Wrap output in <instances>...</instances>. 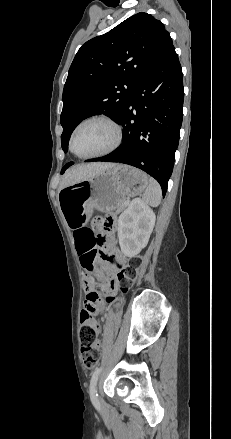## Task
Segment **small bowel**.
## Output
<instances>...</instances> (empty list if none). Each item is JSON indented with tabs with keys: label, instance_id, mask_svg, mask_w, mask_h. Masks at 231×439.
<instances>
[{
	"label": "small bowel",
	"instance_id": "c3829d8e",
	"mask_svg": "<svg viewBox=\"0 0 231 439\" xmlns=\"http://www.w3.org/2000/svg\"><path fill=\"white\" fill-rule=\"evenodd\" d=\"M98 230H102L101 227ZM73 238L75 243L76 252L82 260L83 256L89 252H99L104 258L103 269L108 275L102 285V291L104 293H113L116 288L115 278L113 274L116 271V266L109 261L115 259L118 263H122L123 259L119 255L118 250L112 245L113 238L112 233L109 234L107 240L96 241L91 229L87 227L74 226ZM86 300L84 302V308L90 310L93 309L96 314H100L103 311V302L95 292V281L93 278L87 276L84 280ZM102 347V341L98 340L95 343V348L100 350Z\"/></svg>",
	"mask_w": 231,
	"mask_h": 439
}]
</instances>
